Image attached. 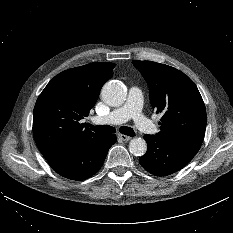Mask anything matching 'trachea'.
<instances>
[{
	"label": "trachea",
	"mask_w": 233,
	"mask_h": 233,
	"mask_svg": "<svg viewBox=\"0 0 233 233\" xmlns=\"http://www.w3.org/2000/svg\"><path fill=\"white\" fill-rule=\"evenodd\" d=\"M88 126L90 127L91 130L100 134H111L116 132L115 128L109 125L93 126L91 124H88ZM119 131L127 136H135L134 130L130 127L122 126L120 127Z\"/></svg>",
	"instance_id": "obj_1"
}]
</instances>
